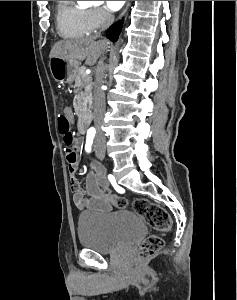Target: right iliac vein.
<instances>
[{
	"instance_id": "63e3f726",
	"label": "right iliac vein",
	"mask_w": 237,
	"mask_h": 300,
	"mask_svg": "<svg viewBox=\"0 0 237 300\" xmlns=\"http://www.w3.org/2000/svg\"><path fill=\"white\" fill-rule=\"evenodd\" d=\"M98 152H102V150H97Z\"/></svg>"
}]
</instances>
